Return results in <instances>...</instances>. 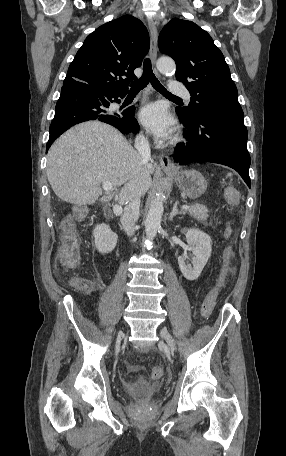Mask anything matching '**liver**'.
I'll return each instance as SVG.
<instances>
[{
    "label": "liver",
    "instance_id": "1",
    "mask_svg": "<svg viewBox=\"0 0 286 456\" xmlns=\"http://www.w3.org/2000/svg\"><path fill=\"white\" fill-rule=\"evenodd\" d=\"M152 163H143L141 155L114 127L89 121L66 131L51 146L47 160V178L54 193L75 205H90L101 195L100 185H123L120 205L126 204L139 189L144 196L151 186ZM113 194L101 198L111 200Z\"/></svg>",
    "mask_w": 286,
    "mask_h": 456
}]
</instances>
